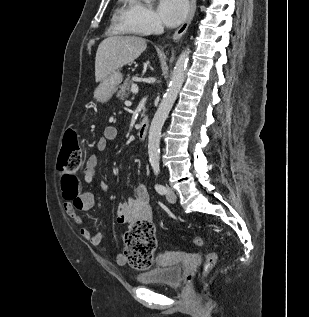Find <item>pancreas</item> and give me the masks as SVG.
<instances>
[{
    "label": "pancreas",
    "mask_w": 309,
    "mask_h": 317,
    "mask_svg": "<svg viewBox=\"0 0 309 317\" xmlns=\"http://www.w3.org/2000/svg\"><path fill=\"white\" fill-rule=\"evenodd\" d=\"M133 84V80L126 79L124 83L120 86V90L117 92V97L124 100L130 94V87Z\"/></svg>",
    "instance_id": "1"
}]
</instances>
